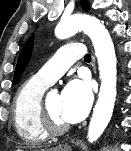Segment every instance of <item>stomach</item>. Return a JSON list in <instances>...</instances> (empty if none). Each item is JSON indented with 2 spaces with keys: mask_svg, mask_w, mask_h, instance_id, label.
Returning <instances> with one entry per match:
<instances>
[{
  "mask_svg": "<svg viewBox=\"0 0 131 151\" xmlns=\"http://www.w3.org/2000/svg\"><path fill=\"white\" fill-rule=\"evenodd\" d=\"M59 151H71L70 147L59 148Z\"/></svg>",
  "mask_w": 131,
  "mask_h": 151,
  "instance_id": "0dacf381",
  "label": "stomach"
}]
</instances>
